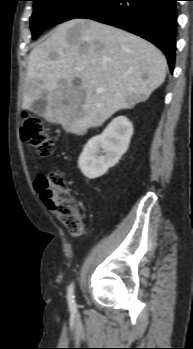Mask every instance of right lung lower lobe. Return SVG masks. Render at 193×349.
<instances>
[{"label":"right lung lower lobe","mask_w":193,"mask_h":349,"mask_svg":"<svg viewBox=\"0 0 193 349\" xmlns=\"http://www.w3.org/2000/svg\"><path fill=\"white\" fill-rule=\"evenodd\" d=\"M177 0H98L77 18L122 28L158 46L174 69Z\"/></svg>","instance_id":"right-lung-lower-lobe-1"}]
</instances>
